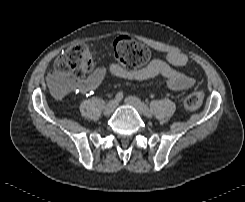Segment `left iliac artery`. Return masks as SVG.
<instances>
[{
    "label": "left iliac artery",
    "instance_id": "44dca946",
    "mask_svg": "<svg viewBox=\"0 0 245 202\" xmlns=\"http://www.w3.org/2000/svg\"><path fill=\"white\" fill-rule=\"evenodd\" d=\"M142 106H143L144 114L147 117H151L152 116V113H151L150 109L148 108V106L146 104H144V103H142Z\"/></svg>",
    "mask_w": 245,
    "mask_h": 202
}]
</instances>
